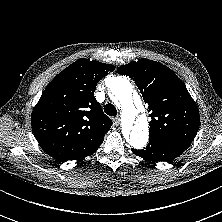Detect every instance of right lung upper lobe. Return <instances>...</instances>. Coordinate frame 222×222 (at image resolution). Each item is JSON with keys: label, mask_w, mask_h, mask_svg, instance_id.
Returning <instances> with one entry per match:
<instances>
[{"label": "right lung upper lobe", "mask_w": 222, "mask_h": 222, "mask_svg": "<svg viewBox=\"0 0 222 222\" xmlns=\"http://www.w3.org/2000/svg\"><path fill=\"white\" fill-rule=\"evenodd\" d=\"M111 71L113 65L80 59L49 83L31 115L34 136L48 155L80 161L99 148L112 121L94 91Z\"/></svg>", "instance_id": "obj_1"}]
</instances>
